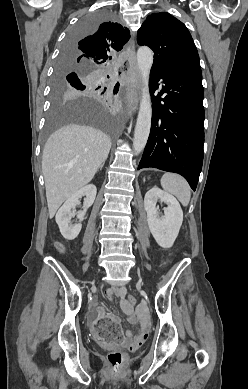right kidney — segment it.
<instances>
[{"mask_svg": "<svg viewBox=\"0 0 248 389\" xmlns=\"http://www.w3.org/2000/svg\"><path fill=\"white\" fill-rule=\"evenodd\" d=\"M97 189L95 185H87L73 195H71L63 204V206L58 210L56 214V223L59 226L62 236L67 240H74L81 231L84 216L87 209L92 206L96 197ZM85 196L83 203V211L71 212L72 209L79 203V198ZM77 216L79 223L74 226L71 225V218Z\"/></svg>", "mask_w": 248, "mask_h": 389, "instance_id": "right-kidney-1", "label": "right kidney"}]
</instances>
